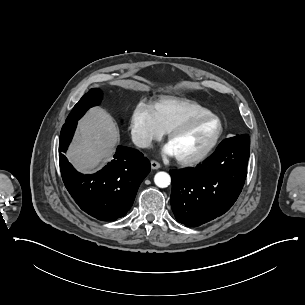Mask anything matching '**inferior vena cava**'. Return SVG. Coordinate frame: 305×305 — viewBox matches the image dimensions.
Returning a JSON list of instances; mask_svg holds the SVG:
<instances>
[{"mask_svg": "<svg viewBox=\"0 0 305 305\" xmlns=\"http://www.w3.org/2000/svg\"><path fill=\"white\" fill-rule=\"evenodd\" d=\"M132 140L135 145L141 148H148L151 145V140L149 137H142L136 133L132 135Z\"/></svg>", "mask_w": 305, "mask_h": 305, "instance_id": "1", "label": "inferior vena cava"}]
</instances>
